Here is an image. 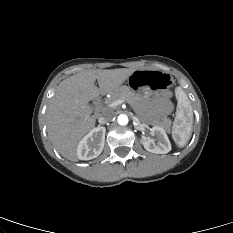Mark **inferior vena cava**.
I'll list each match as a JSON object with an SVG mask.
<instances>
[{"label": "inferior vena cava", "mask_w": 233, "mask_h": 233, "mask_svg": "<svg viewBox=\"0 0 233 233\" xmlns=\"http://www.w3.org/2000/svg\"><path fill=\"white\" fill-rule=\"evenodd\" d=\"M113 117H114V113L113 112H111V111H105L99 117L98 122L101 125H104V124L110 122L113 119Z\"/></svg>", "instance_id": "inferior-vena-cava-1"}]
</instances>
